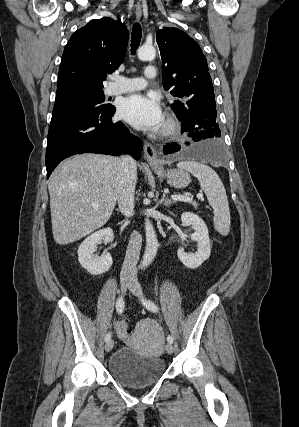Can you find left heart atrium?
Wrapping results in <instances>:
<instances>
[{
  "mask_svg": "<svg viewBox=\"0 0 299 427\" xmlns=\"http://www.w3.org/2000/svg\"><path fill=\"white\" fill-rule=\"evenodd\" d=\"M121 117L141 130H158L164 121L161 105L152 96L134 94L124 98L119 105Z\"/></svg>",
  "mask_w": 299,
  "mask_h": 427,
  "instance_id": "left-heart-atrium-1",
  "label": "left heart atrium"
}]
</instances>
